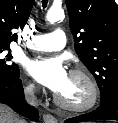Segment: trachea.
I'll return each instance as SVG.
<instances>
[{"label":"trachea","instance_id":"1","mask_svg":"<svg viewBox=\"0 0 118 123\" xmlns=\"http://www.w3.org/2000/svg\"><path fill=\"white\" fill-rule=\"evenodd\" d=\"M48 0H42V6L45 8L47 6Z\"/></svg>","mask_w":118,"mask_h":123}]
</instances>
